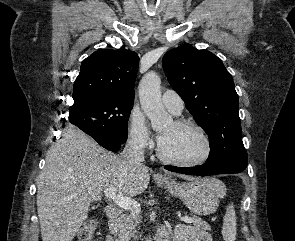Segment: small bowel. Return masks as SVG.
I'll list each match as a JSON object with an SVG mask.
<instances>
[{
    "label": "small bowel",
    "instance_id": "obj_1",
    "mask_svg": "<svg viewBox=\"0 0 295 241\" xmlns=\"http://www.w3.org/2000/svg\"><path fill=\"white\" fill-rule=\"evenodd\" d=\"M167 234V231H163ZM107 241H111L109 238ZM174 241H210L208 234L190 226H177L174 228Z\"/></svg>",
    "mask_w": 295,
    "mask_h": 241
}]
</instances>
